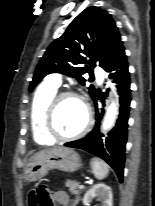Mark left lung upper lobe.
Masks as SVG:
<instances>
[{
	"instance_id": "obj_1",
	"label": "left lung upper lobe",
	"mask_w": 155,
	"mask_h": 206,
	"mask_svg": "<svg viewBox=\"0 0 155 206\" xmlns=\"http://www.w3.org/2000/svg\"><path fill=\"white\" fill-rule=\"evenodd\" d=\"M122 48L121 36L111 15L98 7H88L48 47L36 67L29 90L50 73L69 75L84 85L81 75L91 72L96 62L105 69ZM88 63L90 67L82 66ZM89 92L93 97L96 90L90 86Z\"/></svg>"
}]
</instances>
